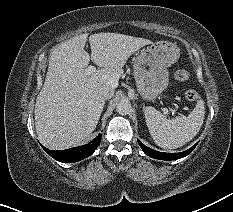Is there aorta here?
<instances>
[{"instance_id": "762f6f07", "label": "aorta", "mask_w": 233, "mask_h": 212, "mask_svg": "<svg viewBox=\"0 0 233 212\" xmlns=\"http://www.w3.org/2000/svg\"><path fill=\"white\" fill-rule=\"evenodd\" d=\"M116 110L120 115H127L131 111V103L128 100H123L117 104Z\"/></svg>"}]
</instances>
